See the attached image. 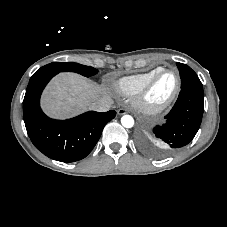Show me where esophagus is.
Segmentation results:
<instances>
[{
  "label": "esophagus",
  "instance_id": "esophagus-1",
  "mask_svg": "<svg viewBox=\"0 0 227 227\" xmlns=\"http://www.w3.org/2000/svg\"><path fill=\"white\" fill-rule=\"evenodd\" d=\"M117 113H118V115H124V114L127 113V110L124 109V108H119V109L117 110Z\"/></svg>",
  "mask_w": 227,
  "mask_h": 227
}]
</instances>
